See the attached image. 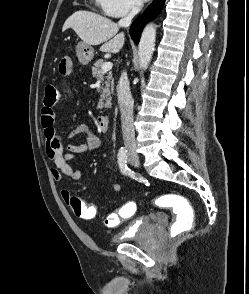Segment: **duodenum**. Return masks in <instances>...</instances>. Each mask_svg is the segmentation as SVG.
Returning <instances> with one entry per match:
<instances>
[{
	"instance_id": "1",
	"label": "duodenum",
	"mask_w": 249,
	"mask_h": 294,
	"mask_svg": "<svg viewBox=\"0 0 249 294\" xmlns=\"http://www.w3.org/2000/svg\"><path fill=\"white\" fill-rule=\"evenodd\" d=\"M110 121L107 116L99 115L95 118V126L98 130L106 132L109 129Z\"/></svg>"
}]
</instances>
